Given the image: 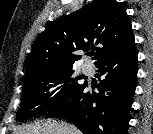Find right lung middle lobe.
<instances>
[{"instance_id":"1","label":"right lung middle lobe","mask_w":153,"mask_h":134,"mask_svg":"<svg viewBox=\"0 0 153 134\" xmlns=\"http://www.w3.org/2000/svg\"><path fill=\"white\" fill-rule=\"evenodd\" d=\"M79 79L82 76L74 77L72 66L50 69L25 78L17 120L47 113L70 100L87 84L86 81L79 83ZM55 86L58 87L51 93L48 92Z\"/></svg>"}]
</instances>
